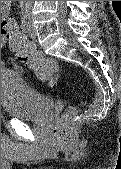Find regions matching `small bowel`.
<instances>
[{
	"label": "small bowel",
	"mask_w": 121,
	"mask_h": 169,
	"mask_svg": "<svg viewBox=\"0 0 121 169\" xmlns=\"http://www.w3.org/2000/svg\"><path fill=\"white\" fill-rule=\"evenodd\" d=\"M10 7H11V1H1V11L3 13V15H8L9 11H10ZM18 29L16 23L11 20V19H4L1 23V33H2V38H1V45H4L6 43L5 37H4V33L7 30L10 29ZM16 68H18V66H15Z\"/></svg>",
	"instance_id": "obj_1"
}]
</instances>
